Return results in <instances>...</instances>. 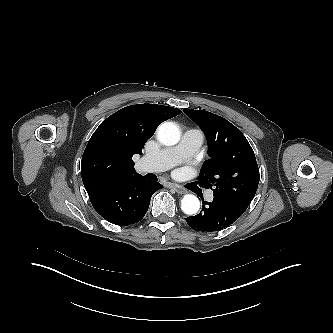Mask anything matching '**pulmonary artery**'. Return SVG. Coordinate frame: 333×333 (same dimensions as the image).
I'll list each match as a JSON object with an SVG mask.
<instances>
[{
    "mask_svg": "<svg viewBox=\"0 0 333 333\" xmlns=\"http://www.w3.org/2000/svg\"><path fill=\"white\" fill-rule=\"evenodd\" d=\"M204 134L199 129H188L182 135L180 142L173 147L161 149L155 153L145 155L139 163L144 172H161L181 163L192 156L203 144ZM208 201H212L213 193L206 195Z\"/></svg>",
    "mask_w": 333,
    "mask_h": 333,
    "instance_id": "1",
    "label": "pulmonary artery"
}]
</instances>
